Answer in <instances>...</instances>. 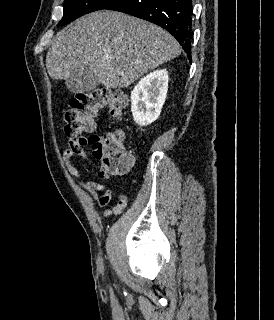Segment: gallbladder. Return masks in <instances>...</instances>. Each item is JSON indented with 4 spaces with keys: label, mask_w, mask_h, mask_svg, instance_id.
<instances>
[{
    "label": "gallbladder",
    "mask_w": 274,
    "mask_h": 320,
    "mask_svg": "<svg viewBox=\"0 0 274 320\" xmlns=\"http://www.w3.org/2000/svg\"><path fill=\"white\" fill-rule=\"evenodd\" d=\"M100 80L94 76L90 68H71L68 72L66 84L69 85V95H82L94 90Z\"/></svg>",
    "instance_id": "bac80fb5"
}]
</instances>
